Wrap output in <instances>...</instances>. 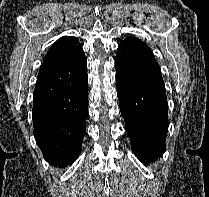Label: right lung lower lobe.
Returning a JSON list of instances; mask_svg holds the SVG:
<instances>
[{"label": "right lung lower lobe", "mask_w": 209, "mask_h": 197, "mask_svg": "<svg viewBox=\"0 0 209 197\" xmlns=\"http://www.w3.org/2000/svg\"><path fill=\"white\" fill-rule=\"evenodd\" d=\"M88 79L83 50L62 67L37 77L33 94L34 136L49 164H72L86 133Z\"/></svg>", "instance_id": "98d812e1"}]
</instances>
